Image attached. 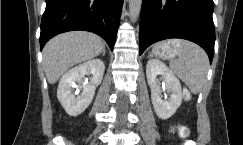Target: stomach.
<instances>
[{
  "instance_id": "obj_1",
  "label": "stomach",
  "mask_w": 243,
  "mask_h": 145,
  "mask_svg": "<svg viewBox=\"0 0 243 145\" xmlns=\"http://www.w3.org/2000/svg\"><path fill=\"white\" fill-rule=\"evenodd\" d=\"M179 53L173 41H163L153 47L152 54L161 59H172Z\"/></svg>"
}]
</instances>
